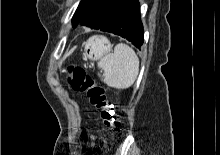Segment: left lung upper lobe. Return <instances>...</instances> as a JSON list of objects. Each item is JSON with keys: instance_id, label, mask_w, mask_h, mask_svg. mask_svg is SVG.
<instances>
[{"instance_id": "left-lung-upper-lobe-1", "label": "left lung upper lobe", "mask_w": 220, "mask_h": 155, "mask_svg": "<svg viewBox=\"0 0 220 155\" xmlns=\"http://www.w3.org/2000/svg\"><path fill=\"white\" fill-rule=\"evenodd\" d=\"M97 0H81L74 16L72 19V25L75 28L86 11L96 2Z\"/></svg>"}]
</instances>
